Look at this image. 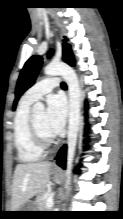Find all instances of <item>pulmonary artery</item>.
<instances>
[{
    "mask_svg": "<svg viewBox=\"0 0 123 219\" xmlns=\"http://www.w3.org/2000/svg\"><path fill=\"white\" fill-rule=\"evenodd\" d=\"M58 85L59 81L56 77L42 79L25 92L23 99L33 103L44 95L50 93Z\"/></svg>",
    "mask_w": 123,
    "mask_h": 219,
    "instance_id": "e3ab8cb5",
    "label": "pulmonary artery"
}]
</instances>
